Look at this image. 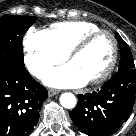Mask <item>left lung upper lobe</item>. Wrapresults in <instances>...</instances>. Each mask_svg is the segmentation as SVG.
<instances>
[{"label":"left lung upper lobe","instance_id":"1","mask_svg":"<svg viewBox=\"0 0 136 136\" xmlns=\"http://www.w3.org/2000/svg\"><path fill=\"white\" fill-rule=\"evenodd\" d=\"M120 47V62L118 71L135 69L132 53L127 43L120 37L118 33L115 34Z\"/></svg>","mask_w":136,"mask_h":136}]
</instances>
